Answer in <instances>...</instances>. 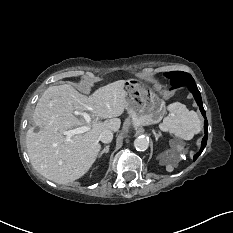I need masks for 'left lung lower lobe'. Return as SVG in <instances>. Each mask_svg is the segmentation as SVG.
Returning <instances> with one entry per match:
<instances>
[{
    "label": "left lung lower lobe",
    "instance_id": "obj_1",
    "mask_svg": "<svg viewBox=\"0 0 233 233\" xmlns=\"http://www.w3.org/2000/svg\"><path fill=\"white\" fill-rule=\"evenodd\" d=\"M173 86V88H177V87H180V86H187L189 88V90L192 92L199 108H200V111L202 113V115L204 116L205 118V121H204V132H205V136L203 137V140H202V146H201V149L200 151L194 155V160H196L198 158V156L202 153V151L204 150L206 144H207V137H208V122H207V119H206V114H205V110L203 108V104H202V99H201V95H200V92L195 84V81L194 79H187V80H183V81H180V82H174L171 84Z\"/></svg>",
    "mask_w": 233,
    "mask_h": 233
}]
</instances>
